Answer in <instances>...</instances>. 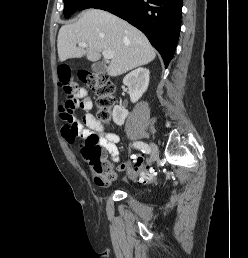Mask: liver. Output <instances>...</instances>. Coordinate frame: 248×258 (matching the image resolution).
I'll return each instance as SVG.
<instances>
[{"label":"liver","instance_id":"obj_1","mask_svg":"<svg viewBox=\"0 0 248 258\" xmlns=\"http://www.w3.org/2000/svg\"><path fill=\"white\" fill-rule=\"evenodd\" d=\"M78 43H86L88 46L77 47ZM57 49L60 62L83 56L97 62L101 52H112L114 57L107 68L108 75L112 77L146 65L156 57L154 48L141 31L99 9H88L76 23L62 26Z\"/></svg>","mask_w":248,"mask_h":258}]
</instances>
